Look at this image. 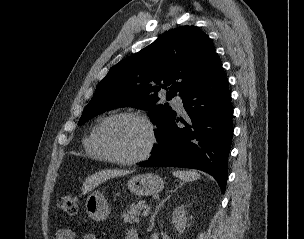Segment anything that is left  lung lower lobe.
I'll use <instances>...</instances> for the list:
<instances>
[{
  "mask_svg": "<svg viewBox=\"0 0 304 239\" xmlns=\"http://www.w3.org/2000/svg\"><path fill=\"white\" fill-rule=\"evenodd\" d=\"M227 79L215 55L205 73L183 97L188 114L175 116L158 135V145L140 166L194 168L211 174L225 192L232 143L233 109Z\"/></svg>",
  "mask_w": 304,
  "mask_h": 239,
  "instance_id": "0a47b994",
  "label": "left lung lower lobe"
}]
</instances>
